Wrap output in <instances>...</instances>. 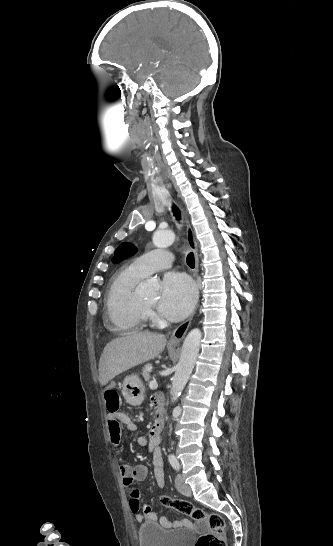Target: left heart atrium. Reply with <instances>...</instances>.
<instances>
[{"label": "left heart atrium", "mask_w": 333, "mask_h": 546, "mask_svg": "<svg viewBox=\"0 0 333 546\" xmlns=\"http://www.w3.org/2000/svg\"><path fill=\"white\" fill-rule=\"evenodd\" d=\"M196 290L193 282L182 273L170 272L162 282L159 312L169 320L185 318L193 309Z\"/></svg>", "instance_id": "left-heart-atrium-1"}]
</instances>
